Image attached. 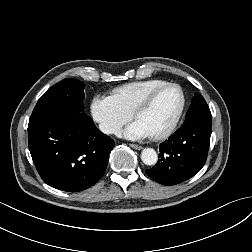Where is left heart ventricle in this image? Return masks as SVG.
<instances>
[{
	"label": "left heart ventricle",
	"instance_id": "obj_1",
	"mask_svg": "<svg viewBox=\"0 0 252 252\" xmlns=\"http://www.w3.org/2000/svg\"><path fill=\"white\" fill-rule=\"evenodd\" d=\"M181 104V94L176 87H168L157 94L152 104L141 112V121L152 133L166 130L173 122Z\"/></svg>",
	"mask_w": 252,
	"mask_h": 252
}]
</instances>
